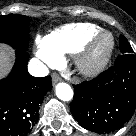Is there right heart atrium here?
<instances>
[{
	"label": "right heart atrium",
	"instance_id": "right-heart-atrium-1",
	"mask_svg": "<svg viewBox=\"0 0 136 136\" xmlns=\"http://www.w3.org/2000/svg\"><path fill=\"white\" fill-rule=\"evenodd\" d=\"M37 45V55L44 63L52 66L60 61V55L49 49L42 39L37 40Z\"/></svg>",
	"mask_w": 136,
	"mask_h": 136
}]
</instances>
